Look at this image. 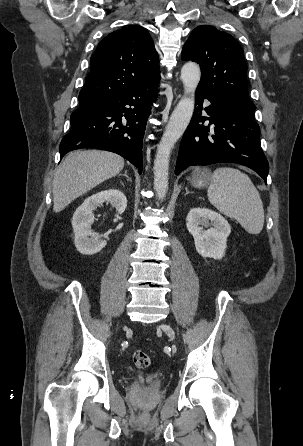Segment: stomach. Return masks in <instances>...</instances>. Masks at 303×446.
I'll list each match as a JSON object with an SVG mask.
<instances>
[{"label":"stomach","mask_w":303,"mask_h":446,"mask_svg":"<svg viewBox=\"0 0 303 446\" xmlns=\"http://www.w3.org/2000/svg\"><path fill=\"white\" fill-rule=\"evenodd\" d=\"M211 173L208 169L197 171L191 180V183L196 188H205L211 183Z\"/></svg>","instance_id":"0dacf381"}]
</instances>
